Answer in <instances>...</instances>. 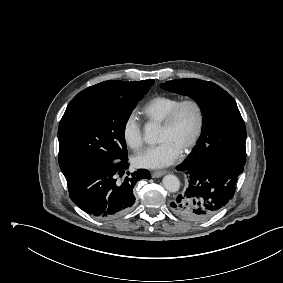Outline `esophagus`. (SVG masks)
<instances>
[{"mask_svg":"<svg viewBox=\"0 0 283 283\" xmlns=\"http://www.w3.org/2000/svg\"><path fill=\"white\" fill-rule=\"evenodd\" d=\"M164 174H166V171H154L151 173L153 178H159L163 176Z\"/></svg>","mask_w":283,"mask_h":283,"instance_id":"esophagus-1","label":"esophagus"}]
</instances>
